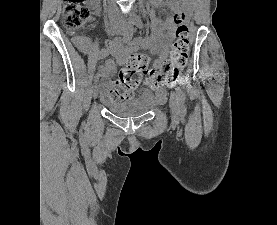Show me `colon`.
Returning a JSON list of instances; mask_svg holds the SVG:
<instances>
[{"instance_id": "5ec220e1", "label": "colon", "mask_w": 277, "mask_h": 225, "mask_svg": "<svg viewBox=\"0 0 277 225\" xmlns=\"http://www.w3.org/2000/svg\"><path fill=\"white\" fill-rule=\"evenodd\" d=\"M89 18L90 12L85 0H63V24L70 33L74 34L84 28ZM173 19L176 29L170 57L162 63L158 71H151L156 87L175 82L188 61L190 45L186 16L183 12L176 11ZM75 43L85 46L86 40L75 37ZM124 60L118 79L108 91V99L111 102L130 100L140 85L142 77L150 71V58L146 54H131Z\"/></svg>"}]
</instances>
